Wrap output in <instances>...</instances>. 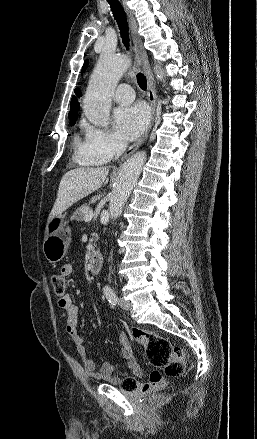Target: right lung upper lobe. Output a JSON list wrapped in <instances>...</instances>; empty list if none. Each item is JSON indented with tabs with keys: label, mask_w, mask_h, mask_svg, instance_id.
I'll list each match as a JSON object with an SVG mask.
<instances>
[{
	"label": "right lung upper lobe",
	"mask_w": 257,
	"mask_h": 439,
	"mask_svg": "<svg viewBox=\"0 0 257 439\" xmlns=\"http://www.w3.org/2000/svg\"><path fill=\"white\" fill-rule=\"evenodd\" d=\"M75 93H76L77 96H81V91L80 90L76 89ZM79 108H80V104L77 102L76 96H73L72 99H71V103H70V112H76L77 113Z\"/></svg>",
	"instance_id": "obj_1"
}]
</instances>
